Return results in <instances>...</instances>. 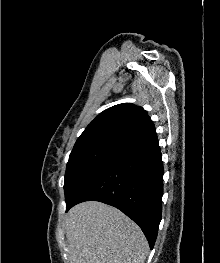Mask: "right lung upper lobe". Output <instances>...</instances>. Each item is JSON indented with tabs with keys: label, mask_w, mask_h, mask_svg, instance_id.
I'll return each mask as SVG.
<instances>
[{
	"label": "right lung upper lobe",
	"mask_w": 220,
	"mask_h": 263,
	"mask_svg": "<svg viewBox=\"0 0 220 263\" xmlns=\"http://www.w3.org/2000/svg\"><path fill=\"white\" fill-rule=\"evenodd\" d=\"M156 135L147 112L134 104L124 103L100 113L84 130L72 151L114 149L121 151Z\"/></svg>",
	"instance_id": "obj_1"
}]
</instances>
